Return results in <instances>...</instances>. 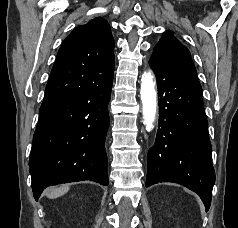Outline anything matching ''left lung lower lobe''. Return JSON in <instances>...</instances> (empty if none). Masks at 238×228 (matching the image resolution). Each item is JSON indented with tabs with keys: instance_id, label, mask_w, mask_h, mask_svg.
Returning <instances> with one entry per match:
<instances>
[{
	"instance_id": "0a47b994",
	"label": "left lung lower lobe",
	"mask_w": 238,
	"mask_h": 228,
	"mask_svg": "<svg viewBox=\"0 0 238 228\" xmlns=\"http://www.w3.org/2000/svg\"><path fill=\"white\" fill-rule=\"evenodd\" d=\"M149 64L157 78L159 123L148 152L146 187L174 182L196 192L208 211L215 172L197 72L162 53Z\"/></svg>"
}]
</instances>
